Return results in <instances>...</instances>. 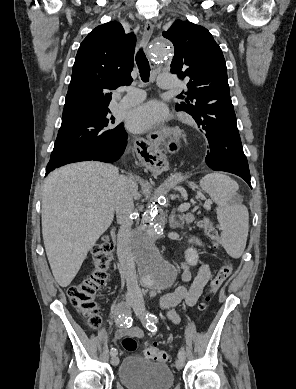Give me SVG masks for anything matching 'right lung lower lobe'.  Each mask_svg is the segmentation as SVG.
I'll return each mask as SVG.
<instances>
[{
    "label": "right lung lower lobe",
    "instance_id": "98d812e1",
    "mask_svg": "<svg viewBox=\"0 0 296 389\" xmlns=\"http://www.w3.org/2000/svg\"><path fill=\"white\" fill-rule=\"evenodd\" d=\"M127 138L128 135L124 130L123 139L119 141L116 145H113L110 148L102 147L93 150H84L80 152L76 158L59 161L56 162L55 165L51 167H47L46 175L56 167H60L65 164L73 163V162L88 161V160L102 161L107 163L115 162L123 154L125 150Z\"/></svg>",
    "mask_w": 296,
    "mask_h": 389
}]
</instances>
